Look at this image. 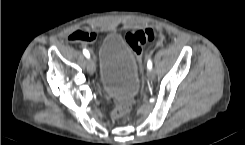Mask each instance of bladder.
I'll return each instance as SVG.
<instances>
[{
    "mask_svg": "<svg viewBox=\"0 0 245 145\" xmlns=\"http://www.w3.org/2000/svg\"><path fill=\"white\" fill-rule=\"evenodd\" d=\"M99 78L114 98H130L139 89V72L133 49L121 34L105 38L99 50Z\"/></svg>",
    "mask_w": 245,
    "mask_h": 145,
    "instance_id": "1",
    "label": "bladder"
}]
</instances>
